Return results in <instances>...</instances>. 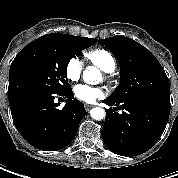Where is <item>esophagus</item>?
Returning a JSON list of instances; mask_svg holds the SVG:
<instances>
[{
  "label": "esophagus",
  "mask_w": 178,
  "mask_h": 178,
  "mask_svg": "<svg viewBox=\"0 0 178 178\" xmlns=\"http://www.w3.org/2000/svg\"><path fill=\"white\" fill-rule=\"evenodd\" d=\"M84 106L87 111L93 107V105H89V104H85Z\"/></svg>",
  "instance_id": "esophagus-1"
}]
</instances>
